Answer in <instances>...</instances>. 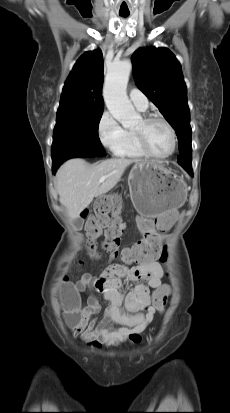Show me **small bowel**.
I'll use <instances>...</instances> for the list:
<instances>
[{
	"label": "small bowel",
	"mask_w": 230,
	"mask_h": 413,
	"mask_svg": "<svg viewBox=\"0 0 230 413\" xmlns=\"http://www.w3.org/2000/svg\"><path fill=\"white\" fill-rule=\"evenodd\" d=\"M180 217L170 211L162 218H139L137 224L140 231H171ZM147 235V234H146ZM164 269L161 265L149 260L129 267L123 264L109 265L102 274L94 278L84 274L75 284H64L61 289V300L64 303L70 294L78 296L76 312L65 308L66 322L74 334L80 335L90 346L100 348L112 347L125 341H137L139 335L153 320L158 308L153 302L155 294L170 295V286L162 283ZM133 291L124 295L122 287L125 281L138 282ZM88 288H94L103 294L109 305L101 318L96 315L101 305L95 295H90L85 303L80 294ZM153 289V294H150Z\"/></svg>",
	"instance_id": "small-bowel-1"
}]
</instances>
